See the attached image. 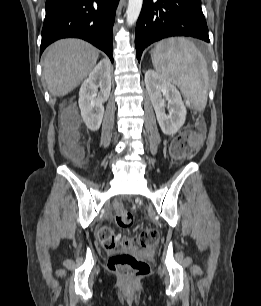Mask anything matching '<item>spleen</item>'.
<instances>
[{"label": "spleen", "instance_id": "3e777b00", "mask_svg": "<svg viewBox=\"0 0 261 306\" xmlns=\"http://www.w3.org/2000/svg\"><path fill=\"white\" fill-rule=\"evenodd\" d=\"M157 73L176 85L187 104L203 111L207 104L209 75L207 63L196 45L186 38H169L151 51Z\"/></svg>", "mask_w": 261, "mask_h": 306}]
</instances>
